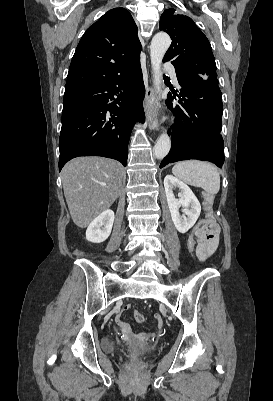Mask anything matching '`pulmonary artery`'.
Wrapping results in <instances>:
<instances>
[{"instance_id":"1","label":"pulmonary artery","mask_w":273,"mask_h":401,"mask_svg":"<svg viewBox=\"0 0 273 401\" xmlns=\"http://www.w3.org/2000/svg\"><path fill=\"white\" fill-rule=\"evenodd\" d=\"M164 63L166 64L165 69L167 72H174L176 69V66L174 63H171V60L169 58H166L164 60ZM172 82L177 85V77L176 76H170Z\"/></svg>"}]
</instances>
